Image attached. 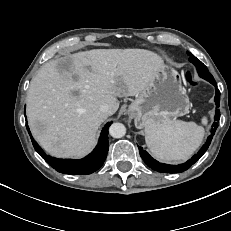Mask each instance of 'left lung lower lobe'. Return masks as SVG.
I'll return each mask as SVG.
<instances>
[{
  "mask_svg": "<svg viewBox=\"0 0 231 231\" xmlns=\"http://www.w3.org/2000/svg\"><path fill=\"white\" fill-rule=\"evenodd\" d=\"M211 84L217 87L215 80L209 81ZM215 104H216V111H215V122L212 125L210 135L208 136L205 144L202 146L200 151L194 155L191 159H189L187 162L184 164H179V165H168L164 163H159L158 161L154 160L145 150H143L142 147H139L140 155L145 162L147 166L152 168L153 170H156L158 172L162 173H180L184 172L187 169L191 167L200 157L206 152L208 149L212 138L214 136V133L216 132V129L218 128L219 124V119H220V110H219V102H220V91L216 88V94L214 98Z\"/></svg>",
  "mask_w": 231,
  "mask_h": 231,
  "instance_id": "left-lung-lower-lobe-1",
  "label": "left lung lower lobe"
}]
</instances>
